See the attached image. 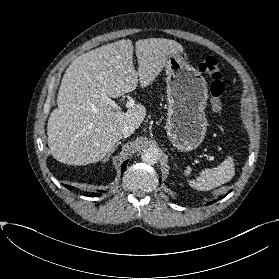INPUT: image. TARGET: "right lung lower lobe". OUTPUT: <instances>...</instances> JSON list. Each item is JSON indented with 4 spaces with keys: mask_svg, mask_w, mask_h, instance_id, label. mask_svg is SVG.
Masks as SVG:
<instances>
[{
    "mask_svg": "<svg viewBox=\"0 0 279 279\" xmlns=\"http://www.w3.org/2000/svg\"><path fill=\"white\" fill-rule=\"evenodd\" d=\"M126 164H127V161H125L123 164H122V173L124 172V169H125V167H126ZM67 187V186H66ZM68 189H73V187H71V186H68L67 187ZM102 192H104V191H102ZM92 197H96V196H100V193H98V192H96V193H91L90 194Z\"/></svg>",
    "mask_w": 279,
    "mask_h": 279,
    "instance_id": "obj_1",
    "label": "right lung lower lobe"
}]
</instances>
